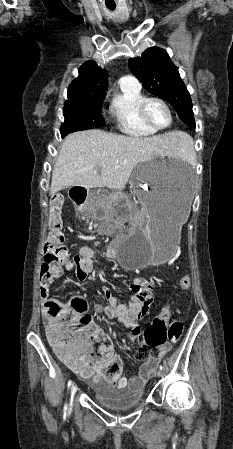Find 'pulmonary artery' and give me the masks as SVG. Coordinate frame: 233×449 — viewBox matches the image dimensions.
<instances>
[{
  "label": "pulmonary artery",
  "mask_w": 233,
  "mask_h": 449,
  "mask_svg": "<svg viewBox=\"0 0 233 449\" xmlns=\"http://www.w3.org/2000/svg\"><path fill=\"white\" fill-rule=\"evenodd\" d=\"M120 83L122 84H128V85H133V86H137L140 87V84L138 82V80L131 76V75H124L120 78L119 80Z\"/></svg>",
  "instance_id": "e3ab8cb5"
}]
</instances>
